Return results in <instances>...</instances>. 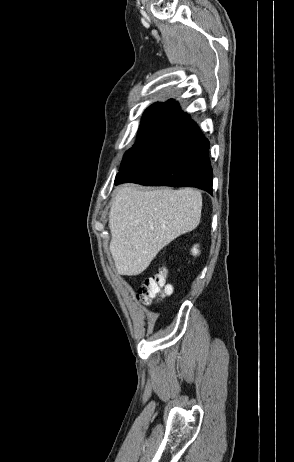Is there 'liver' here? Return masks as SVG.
Returning <instances> with one entry per match:
<instances>
[{
  "label": "liver",
  "mask_w": 294,
  "mask_h": 462,
  "mask_svg": "<svg viewBox=\"0 0 294 462\" xmlns=\"http://www.w3.org/2000/svg\"><path fill=\"white\" fill-rule=\"evenodd\" d=\"M201 209V193L192 188H119L109 214L110 251L118 273L141 274L163 247L198 226Z\"/></svg>",
  "instance_id": "1"
}]
</instances>
